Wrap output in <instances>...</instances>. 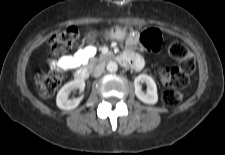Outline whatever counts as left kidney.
I'll return each mask as SVG.
<instances>
[{
    "mask_svg": "<svg viewBox=\"0 0 225 155\" xmlns=\"http://www.w3.org/2000/svg\"><path fill=\"white\" fill-rule=\"evenodd\" d=\"M145 82L147 85V93H144L141 89V83ZM135 86V94L139 100L146 104H156L158 101V94H157V86L155 81L151 76L146 74H140L134 80Z\"/></svg>",
    "mask_w": 225,
    "mask_h": 155,
    "instance_id": "1",
    "label": "left kidney"
}]
</instances>
